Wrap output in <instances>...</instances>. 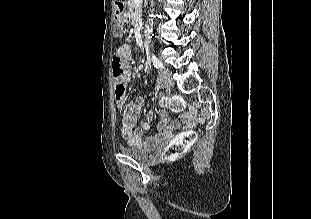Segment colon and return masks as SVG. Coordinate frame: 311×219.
Segmentation results:
<instances>
[{
	"label": "colon",
	"mask_w": 311,
	"mask_h": 219,
	"mask_svg": "<svg viewBox=\"0 0 311 219\" xmlns=\"http://www.w3.org/2000/svg\"><path fill=\"white\" fill-rule=\"evenodd\" d=\"M112 70L115 80V98L117 104L121 106L124 102L127 89L124 81V75L126 72V63L124 59L119 56L114 57L112 60ZM161 102L174 112H179L184 108V102L181 98H164ZM163 114L168 115L166 112H163ZM196 140V131L193 129L187 130L182 135L169 142L164 149L163 156L166 159L176 158L184 154L187 149L196 142Z\"/></svg>",
	"instance_id": "1"
}]
</instances>
